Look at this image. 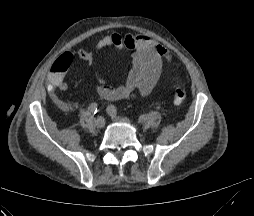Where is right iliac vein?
<instances>
[{
	"label": "right iliac vein",
	"mask_w": 254,
	"mask_h": 216,
	"mask_svg": "<svg viewBox=\"0 0 254 216\" xmlns=\"http://www.w3.org/2000/svg\"><path fill=\"white\" fill-rule=\"evenodd\" d=\"M94 124L97 128H103L105 126V118L102 116H99L95 119Z\"/></svg>",
	"instance_id": "1"
}]
</instances>
